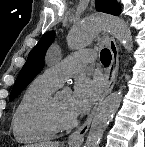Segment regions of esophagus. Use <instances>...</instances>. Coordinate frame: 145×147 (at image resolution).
<instances>
[{"label": "esophagus", "instance_id": "1", "mask_svg": "<svg viewBox=\"0 0 145 147\" xmlns=\"http://www.w3.org/2000/svg\"><path fill=\"white\" fill-rule=\"evenodd\" d=\"M108 46H109V49L111 52L112 60H111V64L109 66L108 72L106 74L105 89H104L103 93L101 94L98 102L95 104L94 108L92 109L91 113L88 115L87 119L83 123V125L81 127H79L77 130H75L69 136V139H68L69 143L79 142L84 139V136L87 133V131L91 125L92 119H93L94 114L98 108V105L106 96H108L110 94V92L112 91V89L116 83L118 71H119V49H118L116 41L112 37H110L108 39Z\"/></svg>", "mask_w": 145, "mask_h": 147}]
</instances>
